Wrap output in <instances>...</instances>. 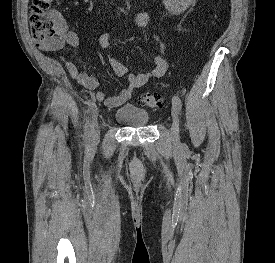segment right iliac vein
<instances>
[{
    "label": "right iliac vein",
    "mask_w": 275,
    "mask_h": 263,
    "mask_svg": "<svg viewBox=\"0 0 275 263\" xmlns=\"http://www.w3.org/2000/svg\"><path fill=\"white\" fill-rule=\"evenodd\" d=\"M99 138H100V130L97 122V112L95 111L93 121H92L91 142L95 144L99 141Z\"/></svg>",
    "instance_id": "63e3f726"
}]
</instances>
